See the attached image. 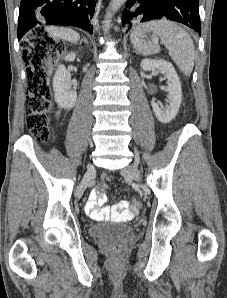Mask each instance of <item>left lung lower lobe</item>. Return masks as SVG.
I'll return each mask as SVG.
<instances>
[{"instance_id":"obj_1","label":"left lung lower lobe","mask_w":227,"mask_h":298,"mask_svg":"<svg viewBox=\"0 0 227 298\" xmlns=\"http://www.w3.org/2000/svg\"><path fill=\"white\" fill-rule=\"evenodd\" d=\"M198 0H128L122 23L129 27L153 19H169L187 25L199 34Z\"/></svg>"}]
</instances>
